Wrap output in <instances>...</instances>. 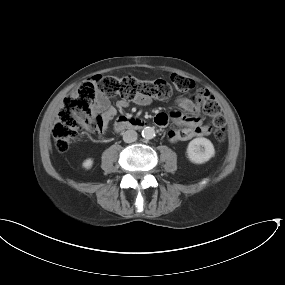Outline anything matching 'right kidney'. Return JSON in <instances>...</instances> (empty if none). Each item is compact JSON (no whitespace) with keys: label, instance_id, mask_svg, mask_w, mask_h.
Segmentation results:
<instances>
[{"label":"right kidney","instance_id":"obj_1","mask_svg":"<svg viewBox=\"0 0 285 285\" xmlns=\"http://www.w3.org/2000/svg\"><path fill=\"white\" fill-rule=\"evenodd\" d=\"M92 165H93V159L91 158L86 159L82 164V166L87 170L90 169Z\"/></svg>","mask_w":285,"mask_h":285}]
</instances>
